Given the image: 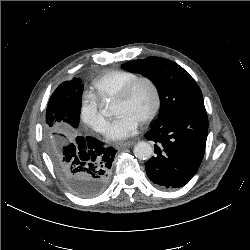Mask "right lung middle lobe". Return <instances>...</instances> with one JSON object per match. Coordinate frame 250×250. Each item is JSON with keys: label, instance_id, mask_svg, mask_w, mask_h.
Returning a JSON list of instances; mask_svg holds the SVG:
<instances>
[{"label": "right lung middle lobe", "instance_id": "dd1d6c3e", "mask_svg": "<svg viewBox=\"0 0 250 250\" xmlns=\"http://www.w3.org/2000/svg\"><path fill=\"white\" fill-rule=\"evenodd\" d=\"M81 82V79L74 78L71 81L61 83L51 95L48 102L45 139L55 167V162L59 160L63 148L61 135L57 133V123L62 121L74 128L78 127L83 92Z\"/></svg>", "mask_w": 250, "mask_h": 250}]
</instances>
